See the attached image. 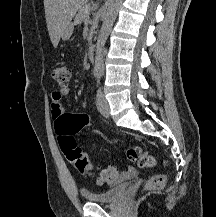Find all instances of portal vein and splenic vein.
<instances>
[{
	"label": "portal vein and splenic vein",
	"instance_id": "1",
	"mask_svg": "<svg viewBox=\"0 0 216 217\" xmlns=\"http://www.w3.org/2000/svg\"><path fill=\"white\" fill-rule=\"evenodd\" d=\"M86 22H87V23L89 22V16H87Z\"/></svg>",
	"mask_w": 216,
	"mask_h": 217
}]
</instances>
